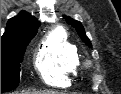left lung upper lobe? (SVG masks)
Returning <instances> with one entry per match:
<instances>
[{
	"instance_id": "5c2ea615",
	"label": "left lung upper lobe",
	"mask_w": 121,
	"mask_h": 94,
	"mask_svg": "<svg viewBox=\"0 0 121 94\" xmlns=\"http://www.w3.org/2000/svg\"><path fill=\"white\" fill-rule=\"evenodd\" d=\"M65 19L69 24H71L73 27L76 28V31L78 32L79 36L82 38L83 42H85L89 47H92L90 40L85 35V31L81 23L71 19L70 17L65 16Z\"/></svg>"
}]
</instances>
